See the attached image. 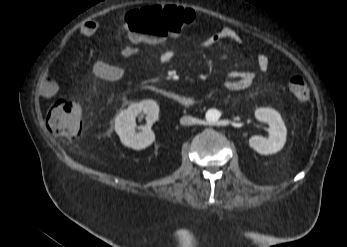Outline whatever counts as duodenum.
I'll return each instance as SVG.
<instances>
[{"instance_id":"obj_1","label":"duodenum","mask_w":347,"mask_h":247,"mask_svg":"<svg viewBox=\"0 0 347 247\" xmlns=\"http://www.w3.org/2000/svg\"><path fill=\"white\" fill-rule=\"evenodd\" d=\"M162 95L182 107L189 108L196 105V99L190 95L179 94L171 91H163Z\"/></svg>"}]
</instances>
